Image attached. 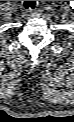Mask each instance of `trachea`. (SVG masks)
<instances>
[{
  "label": "trachea",
  "instance_id": "trachea-1",
  "mask_svg": "<svg viewBox=\"0 0 74 122\" xmlns=\"http://www.w3.org/2000/svg\"><path fill=\"white\" fill-rule=\"evenodd\" d=\"M35 6H36V1H24V7L26 9H29V8L34 9Z\"/></svg>",
  "mask_w": 74,
  "mask_h": 122
}]
</instances>
